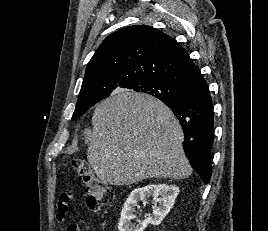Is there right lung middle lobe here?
<instances>
[{
    "label": "right lung middle lobe",
    "instance_id": "right-lung-middle-lobe-1",
    "mask_svg": "<svg viewBox=\"0 0 268 231\" xmlns=\"http://www.w3.org/2000/svg\"><path fill=\"white\" fill-rule=\"evenodd\" d=\"M131 89L137 92L150 94L160 100L178 99L183 95V89L159 81L142 82ZM93 105V103H77L72 120L80 117Z\"/></svg>",
    "mask_w": 268,
    "mask_h": 231
}]
</instances>
